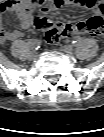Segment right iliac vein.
I'll return each instance as SVG.
<instances>
[{"label":"right iliac vein","instance_id":"obj_1","mask_svg":"<svg viewBox=\"0 0 104 137\" xmlns=\"http://www.w3.org/2000/svg\"><path fill=\"white\" fill-rule=\"evenodd\" d=\"M36 57H37V52H36V51H33V52L30 54V59L34 60Z\"/></svg>","mask_w":104,"mask_h":137}]
</instances>
